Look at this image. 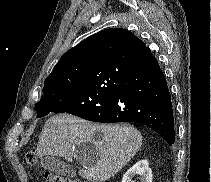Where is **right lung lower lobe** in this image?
Segmentation results:
<instances>
[{"label": "right lung lower lobe", "instance_id": "98d812e1", "mask_svg": "<svg viewBox=\"0 0 211 182\" xmlns=\"http://www.w3.org/2000/svg\"><path fill=\"white\" fill-rule=\"evenodd\" d=\"M53 113H70L104 123L134 122L175 141L174 115L167 81L143 42L123 29L99 32L79 89Z\"/></svg>", "mask_w": 211, "mask_h": 182}]
</instances>
